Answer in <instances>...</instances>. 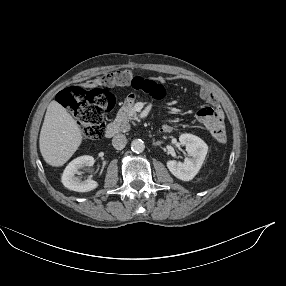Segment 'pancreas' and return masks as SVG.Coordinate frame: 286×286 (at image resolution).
<instances>
[{
  "label": "pancreas",
  "instance_id": "1",
  "mask_svg": "<svg viewBox=\"0 0 286 286\" xmlns=\"http://www.w3.org/2000/svg\"><path fill=\"white\" fill-rule=\"evenodd\" d=\"M136 113L133 110L132 104H124L117 113L116 122L118 124H123L135 117Z\"/></svg>",
  "mask_w": 286,
  "mask_h": 286
}]
</instances>
